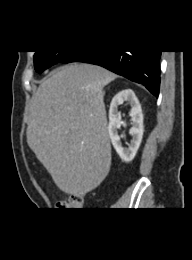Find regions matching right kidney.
<instances>
[{"instance_id": "1", "label": "right kidney", "mask_w": 192, "mask_h": 260, "mask_svg": "<svg viewBox=\"0 0 192 260\" xmlns=\"http://www.w3.org/2000/svg\"><path fill=\"white\" fill-rule=\"evenodd\" d=\"M125 101L131 106L129 115L133 122V126L129 130L132 139L127 148L122 146L118 135L121 124V113L118 107ZM143 129V114L135 93L131 89L120 91L114 96L110 104L108 133L114 149L123 161L130 162L135 157L142 141Z\"/></svg>"}]
</instances>
